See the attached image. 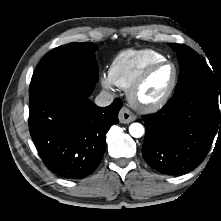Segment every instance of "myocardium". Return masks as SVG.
I'll list each match as a JSON object with an SVG mask.
<instances>
[{
	"label": "myocardium",
	"mask_w": 221,
	"mask_h": 221,
	"mask_svg": "<svg viewBox=\"0 0 221 221\" xmlns=\"http://www.w3.org/2000/svg\"><path fill=\"white\" fill-rule=\"evenodd\" d=\"M170 65L173 69L172 80L165 90V92L156 100L152 102H143L139 99V91L151 75V73L158 67ZM178 81V68L176 64L168 59H163L160 61L153 62L147 65L143 71L138 75V77L133 81V83L128 88V99L131 105L142 112H155L161 109L171 98Z\"/></svg>",
	"instance_id": "obj_1"
}]
</instances>
